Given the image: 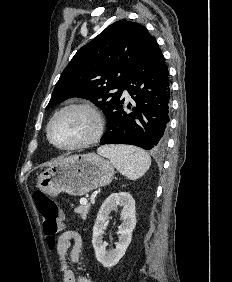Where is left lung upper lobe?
Listing matches in <instances>:
<instances>
[{
  "instance_id": "5c2ea615",
  "label": "left lung upper lobe",
  "mask_w": 232,
  "mask_h": 282,
  "mask_svg": "<svg viewBox=\"0 0 232 282\" xmlns=\"http://www.w3.org/2000/svg\"><path fill=\"white\" fill-rule=\"evenodd\" d=\"M138 23L120 20L108 26L74 55L55 85L46 109L72 97L85 98L105 115L120 99L122 83L153 39ZM114 89H119L114 93Z\"/></svg>"
}]
</instances>
